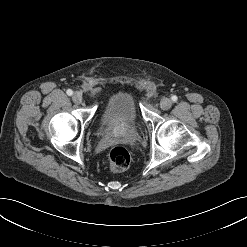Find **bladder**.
<instances>
[{
  "mask_svg": "<svg viewBox=\"0 0 247 247\" xmlns=\"http://www.w3.org/2000/svg\"><path fill=\"white\" fill-rule=\"evenodd\" d=\"M137 123V109L133 96L128 92L112 95L100 118L101 126L108 131L129 129Z\"/></svg>",
  "mask_w": 247,
  "mask_h": 247,
  "instance_id": "obj_1",
  "label": "bladder"
}]
</instances>
